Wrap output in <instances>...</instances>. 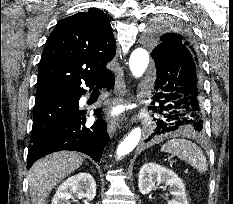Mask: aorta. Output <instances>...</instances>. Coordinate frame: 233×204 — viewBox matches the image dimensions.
<instances>
[{"instance_id": "aorta-1", "label": "aorta", "mask_w": 233, "mask_h": 204, "mask_svg": "<svg viewBox=\"0 0 233 204\" xmlns=\"http://www.w3.org/2000/svg\"><path fill=\"white\" fill-rule=\"evenodd\" d=\"M149 64V55L144 48L135 49L129 59L130 70L136 78L141 77ZM141 139L140 127L134 128L128 136L119 144L116 154L120 158L129 154L139 143Z\"/></svg>"}]
</instances>
